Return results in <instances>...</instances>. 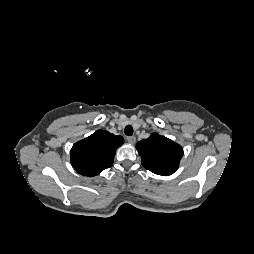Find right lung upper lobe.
I'll use <instances>...</instances> for the list:
<instances>
[{
    "label": "right lung upper lobe",
    "mask_w": 254,
    "mask_h": 254,
    "mask_svg": "<svg viewBox=\"0 0 254 254\" xmlns=\"http://www.w3.org/2000/svg\"><path fill=\"white\" fill-rule=\"evenodd\" d=\"M123 143L122 136L98 130L73 145L71 164L81 175L96 176L112 166L116 149Z\"/></svg>",
    "instance_id": "1"
}]
</instances>
